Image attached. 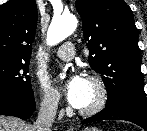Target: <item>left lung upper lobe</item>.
Masks as SVG:
<instances>
[{
  "mask_svg": "<svg viewBox=\"0 0 147 131\" xmlns=\"http://www.w3.org/2000/svg\"><path fill=\"white\" fill-rule=\"evenodd\" d=\"M89 48V63L103 78L106 107L147 104L141 74L138 32L132 10L123 0H76Z\"/></svg>",
  "mask_w": 147,
  "mask_h": 131,
  "instance_id": "5c2ea615",
  "label": "left lung upper lobe"
}]
</instances>
